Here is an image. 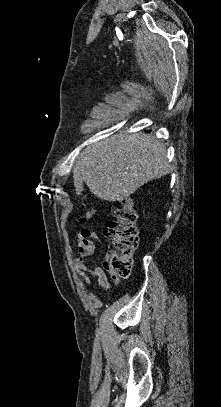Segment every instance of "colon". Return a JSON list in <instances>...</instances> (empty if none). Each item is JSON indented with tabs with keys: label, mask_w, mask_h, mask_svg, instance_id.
I'll use <instances>...</instances> for the list:
<instances>
[{
	"label": "colon",
	"mask_w": 221,
	"mask_h": 407,
	"mask_svg": "<svg viewBox=\"0 0 221 407\" xmlns=\"http://www.w3.org/2000/svg\"><path fill=\"white\" fill-rule=\"evenodd\" d=\"M91 213H87L82 221H86ZM114 221L105 226V235L111 239L106 266L120 277H128L132 269V256L137 247L138 232L137 215L131 200L125 199L114 209ZM89 230H83L82 235L88 237Z\"/></svg>",
	"instance_id": "obj_1"
}]
</instances>
